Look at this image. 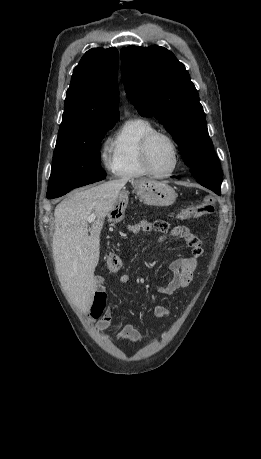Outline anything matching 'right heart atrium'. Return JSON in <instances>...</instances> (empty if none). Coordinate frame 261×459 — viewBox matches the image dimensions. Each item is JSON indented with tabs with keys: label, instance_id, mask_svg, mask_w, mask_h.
Segmentation results:
<instances>
[{
	"label": "right heart atrium",
	"instance_id": "obj_1",
	"mask_svg": "<svg viewBox=\"0 0 261 459\" xmlns=\"http://www.w3.org/2000/svg\"><path fill=\"white\" fill-rule=\"evenodd\" d=\"M102 160H103V164L105 168L108 169L109 171L114 172V163H113L112 157H110L107 154H104L102 157Z\"/></svg>",
	"mask_w": 261,
	"mask_h": 459
}]
</instances>
